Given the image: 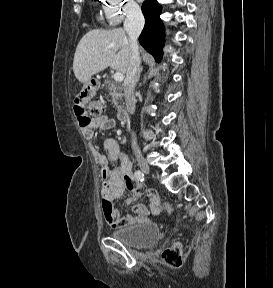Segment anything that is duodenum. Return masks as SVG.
I'll return each instance as SVG.
<instances>
[{
    "mask_svg": "<svg viewBox=\"0 0 273 288\" xmlns=\"http://www.w3.org/2000/svg\"><path fill=\"white\" fill-rule=\"evenodd\" d=\"M117 118L120 123H126L128 121V114L125 110L120 109L118 110Z\"/></svg>",
    "mask_w": 273,
    "mask_h": 288,
    "instance_id": "410a0bca",
    "label": "duodenum"
}]
</instances>
